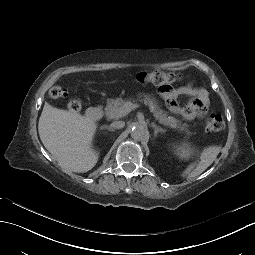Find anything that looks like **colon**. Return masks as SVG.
Instances as JSON below:
<instances>
[{"mask_svg": "<svg viewBox=\"0 0 255 255\" xmlns=\"http://www.w3.org/2000/svg\"><path fill=\"white\" fill-rule=\"evenodd\" d=\"M136 79L141 84H153L158 86L161 90L167 91L170 85L180 79V76L173 72L165 71H141L137 74ZM49 94L52 98L58 99L66 95L65 89L61 86H53ZM68 108L73 111H79L81 109V102L77 99H72L68 102ZM225 123L222 115L212 114L205 123V128L209 132H219L224 129Z\"/></svg>", "mask_w": 255, "mask_h": 255, "instance_id": "colon-1", "label": "colon"}]
</instances>
